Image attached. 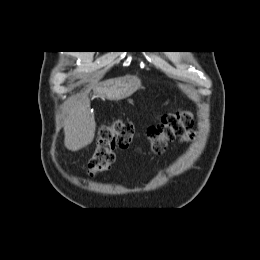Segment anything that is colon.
Returning <instances> with one entry per match:
<instances>
[{"instance_id":"obj_1","label":"colon","mask_w":260,"mask_h":260,"mask_svg":"<svg viewBox=\"0 0 260 260\" xmlns=\"http://www.w3.org/2000/svg\"><path fill=\"white\" fill-rule=\"evenodd\" d=\"M194 115L187 110L167 113L161 121L150 126L146 137L155 154H162L168 144L184 136L193 126ZM136 131L131 122L116 119L99 128L95 150L88 162V172L94 176L105 172L114 160L117 148H127L135 140Z\"/></svg>"}]
</instances>
